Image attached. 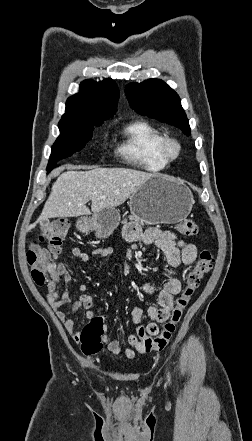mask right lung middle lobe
I'll return each mask as SVG.
<instances>
[{"label":"right lung middle lobe","instance_id":"1","mask_svg":"<svg viewBox=\"0 0 252 441\" xmlns=\"http://www.w3.org/2000/svg\"><path fill=\"white\" fill-rule=\"evenodd\" d=\"M102 122L62 118L58 124L60 136L51 150L50 162L47 166L48 173L57 166L54 162L80 151L92 138L93 128L100 126Z\"/></svg>","mask_w":252,"mask_h":441}]
</instances>
